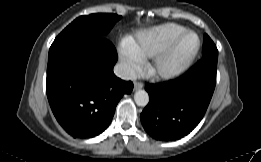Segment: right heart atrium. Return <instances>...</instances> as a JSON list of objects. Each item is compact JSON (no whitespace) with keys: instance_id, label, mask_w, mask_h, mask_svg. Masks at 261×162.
I'll return each instance as SVG.
<instances>
[{"instance_id":"right-heart-atrium-1","label":"right heart atrium","mask_w":261,"mask_h":162,"mask_svg":"<svg viewBox=\"0 0 261 162\" xmlns=\"http://www.w3.org/2000/svg\"><path fill=\"white\" fill-rule=\"evenodd\" d=\"M120 57L122 64L129 75L136 74L143 64V60L130 50L128 43L123 45Z\"/></svg>"}]
</instances>
